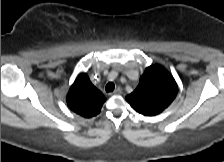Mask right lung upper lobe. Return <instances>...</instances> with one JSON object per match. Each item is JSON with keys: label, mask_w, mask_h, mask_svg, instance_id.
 Returning <instances> with one entry per match:
<instances>
[{"label": "right lung upper lobe", "mask_w": 224, "mask_h": 162, "mask_svg": "<svg viewBox=\"0 0 224 162\" xmlns=\"http://www.w3.org/2000/svg\"><path fill=\"white\" fill-rule=\"evenodd\" d=\"M105 101L104 95L91 83L86 73L78 75L67 95L69 108L85 118L97 115Z\"/></svg>", "instance_id": "cb5924a9"}]
</instances>
